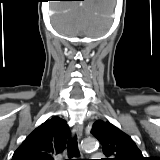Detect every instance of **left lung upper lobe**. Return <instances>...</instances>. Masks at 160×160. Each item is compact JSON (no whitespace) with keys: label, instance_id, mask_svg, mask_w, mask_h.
Listing matches in <instances>:
<instances>
[{"label":"left lung upper lobe","instance_id":"obj_1","mask_svg":"<svg viewBox=\"0 0 160 160\" xmlns=\"http://www.w3.org/2000/svg\"><path fill=\"white\" fill-rule=\"evenodd\" d=\"M91 133L100 141L107 156L103 160H145L131 137L110 122L96 121Z\"/></svg>","mask_w":160,"mask_h":160}]
</instances>
